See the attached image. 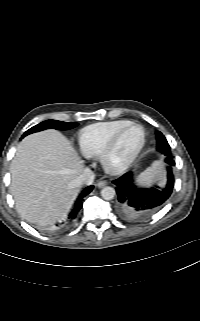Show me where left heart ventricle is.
<instances>
[{"label":"left heart ventricle","instance_id":"obj_1","mask_svg":"<svg viewBox=\"0 0 200 321\" xmlns=\"http://www.w3.org/2000/svg\"><path fill=\"white\" fill-rule=\"evenodd\" d=\"M142 140V131L139 127L128 128L121 136L119 143L112 155L111 161L119 164L126 160L138 147Z\"/></svg>","mask_w":200,"mask_h":321}]
</instances>
